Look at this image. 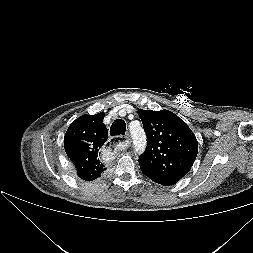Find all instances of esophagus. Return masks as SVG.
<instances>
[{
  "mask_svg": "<svg viewBox=\"0 0 253 253\" xmlns=\"http://www.w3.org/2000/svg\"><path fill=\"white\" fill-rule=\"evenodd\" d=\"M123 143H125L127 146L130 145V143H131V138H130V135H129V134H126V135L124 136V141H123Z\"/></svg>",
  "mask_w": 253,
  "mask_h": 253,
  "instance_id": "esophagus-1",
  "label": "esophagus"
}]
</instances>
